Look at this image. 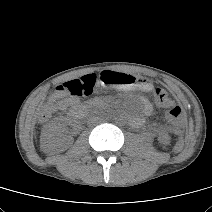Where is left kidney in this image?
<instances>
[{
  "label": "left kidney",
  "instance_id": "left-kidney-1",
  "mask_svg": "<svg viewBox=\"0 0 212 212\" xmlns=\"http://www.w3.org/2000/svg\"><path fill=\"white\" fill-rule=\"evenodd\" d=\"M167 137H162V140L166 139Z\"/></svg>",
  "mask_w": 212,
  "mask_h": 212
}]
</instances>
